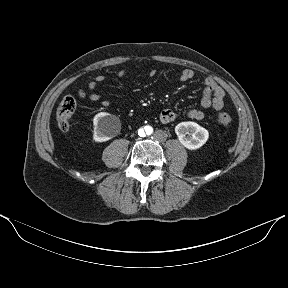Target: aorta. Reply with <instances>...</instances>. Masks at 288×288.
I'll use <instances>...</instances> for the list:
<instances>
[{"label":"aorta","instance_id":"aorta-1","mask_svg":"<svg viewBox=\"0 0 288 288\" xmlns=\"http://www.w3.org/2000/svg\"><path fill=\"white\" fill-rule=\"evenodd\" d=\"M151 133H152V128L149 125L141 126L138 129V134L141 137H147V136L151 135Z\"/></svg>","mask_w":288,"mask_h":288}]
</instances>
